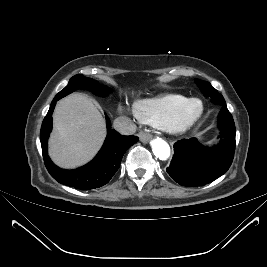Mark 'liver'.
Instances as JSON below:
<instances>
[{"instance_id": "liver-1", "label": "liver", "mask_w": 267, "mask_h": 267, "mask_svg": "<svg viewBox=\"0 0 267 267\" xmlns=\"http://www.w3.org/2000/svg\"><path fill=\"white\" fill-rule=\"evenodd\" d=\"M54 131L49 140L52 160L63 168L87 163L106 137V124L93 101L79 93L61 99L53 114Z\"/></svg>"}]
</instances>
